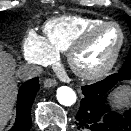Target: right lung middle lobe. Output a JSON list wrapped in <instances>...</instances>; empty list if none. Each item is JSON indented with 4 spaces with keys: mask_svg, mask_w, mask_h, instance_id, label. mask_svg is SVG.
I'll return each instance as SVG.
<instances>
[{
    "mask_svg": "<svg viewBox=\"0 0 131 131\" xmlns=\"http://www.w3.org/2000/svg\"><path fill=\"white\" fill-rule=\"evenodd\" d=\"M4 16L0 14V20L3 18Z\"/></svg>",
    "mask_w": 131,
    "mask_h": 131,
    "instance_id": "right-lung-middle-lobe-1",
    "label": "right lung middle lobe"
}]
</instances>
